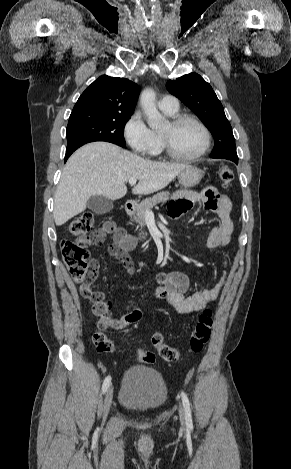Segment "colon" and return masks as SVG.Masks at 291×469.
I'll use <instances>...</instances> for the list:
<instances>
[{"instance_id": "obj_1", "label": "colon", "mask_w": 291, "mask_h": 469, "mask_svg": "<svg viewBox=\"0 0 291 469\" xmlns=\"http://www.w3.org/2000/svg\"><path fill=\"white\" fill-rule=\"evenodd\" d=\"M218 176L221 184L228 187L234 178L230 167L222 165L219 168ZM95 215L85 212L75 217L69 224V232L77 239L75 241H65L62 245V255L65 264L73 280L81 284V295L92 302V313L97 318L98 331L93 335V343L98 352L113 351V344L108 340L104 331L112 326L113 319L110 315V304L103 294L94 290L93 285L97 278V268L89 258L86 247L102 238L101 230L94 229ZM110 252L123 262L129 273L133 271L132 261L117 247L111 246ZM213 327V314L209 309H205L199 316L197 323L192 329L189 337V347L193 352H201L209 341ZM151 343L155 347L158 355L164 361L173 362L179 359L180 351L168 345L161 332L156 331L151 337ZM139 360L145 364L155 362L156 355L139 349L137 351Z\"/></svg>"}]
</instances>
